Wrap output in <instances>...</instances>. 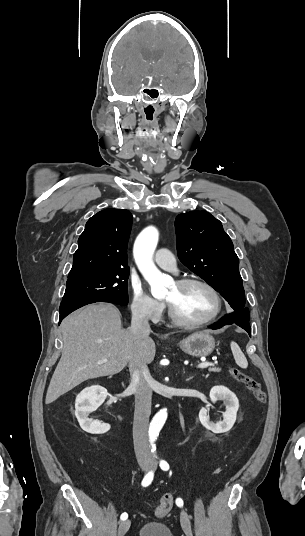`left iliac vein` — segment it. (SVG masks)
Masks as SVG:
<instances>
[{
	"label": "left iliac vein",
	"instance_id": "1",
	"mask_svg": "<svg viewBox=\"0 0 305 536\" xmlns=\"http://www.w3.org/2000/svg\"><path fill=\"white\" fill-rule=\"evenodd\" d=\"M156 462L153 464V468L156 467ZM180 523L182 526V529L186 536H193L192 528H191V521L189 515L182 510L180 513Z\"/></svg>",
	"mask_w": 305,
	"mask_h": 536
}]
</instances>
